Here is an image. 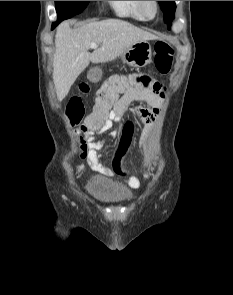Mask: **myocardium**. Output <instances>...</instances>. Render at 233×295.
I'll use <instances>...</instances> for the list:
<instances>
[{"label": "myocardium", "mask_w": 233, "mask_h": 295, "mask_svg": "<svg viewBox=\"0 0 233 295\" xmlns=\"http://www.w3.org/2000/svg\"><path fill=\"white\" fill-rule=\"evenodd\" d=\"M153 6H154V14L151 16V15H148L146 10H145V1H137L138 3V8H139V11L140 13L143 15V17L145 18V20H152L154 19L157 14H158V11H159V4H158V1H151Z\"/></svg>", "instance_id": "f54148a6"}]
</instances>
